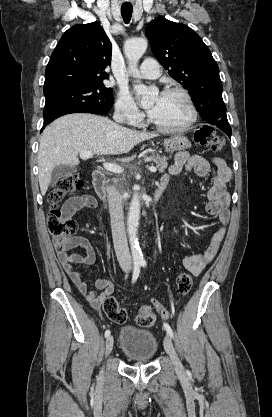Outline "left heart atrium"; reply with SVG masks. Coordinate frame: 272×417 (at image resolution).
Returning a JSON list of instances; mask_svg holds the SVG:
<instances>
[{
	"mask_svg": "<svg viewBox=\"0 0 272 417\" xmlns=\"http://www.w3.org/2000/svg\"><path fill=\"white\" fill-rule=\"evenodd\" d=\"M154 111H155V107H152V108H150V109H149V111H148V112H149V114L151 115V114H153V113H154Z\"/></svg>",
	"mask_w": 272,
	"mask_h": 417,
	"instance_id": "obj_1",
	"label": "left heart atrium"
}]
</instances>
